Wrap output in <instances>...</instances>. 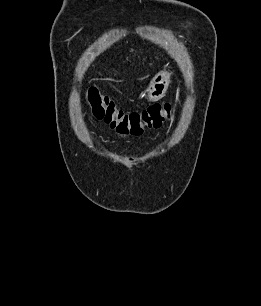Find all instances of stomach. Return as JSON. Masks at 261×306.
Masks as SVG:
<instances>
[{"instance_id": "obj_1", "label": "stomach", "mask_w": 261, "mask_h": 306, "mask_svg": "<svg viewBox=\"0 0 261 306\" xmlns=\"http://www.w3.org/2000/svg\"><path fill=\"white\" fill-rule=\"evenodd\" d=\"M170 84V74L162 71L158 73L151 81L147 98L150 101H157L164 97Z\"/></svg>"}]
</instances>
